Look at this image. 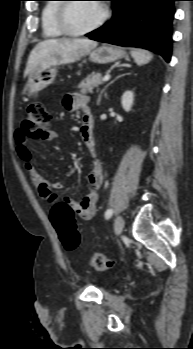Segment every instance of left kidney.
Wrapping results in <instances>:
<instances>
[{
    "label": "left kidney",
    "mask_w": 193,
    "mask_h": 349,
    "mask_svg": "<svg viewBox=\"0 0 193 349\" xmlns=\"http://www.w3.org/2000/svg\"><path fill=\"white\" fill-rule=\"evenodd\" d=\"M133 102H134V94L132 91H126L124 92V94L122 95L121 98V104L123 109L126 112H129L131 110V107L133 106Z\"/></svg>",
    "instance_id": "left-kidney-1"
}]
</instances>
